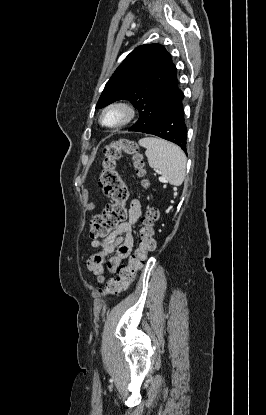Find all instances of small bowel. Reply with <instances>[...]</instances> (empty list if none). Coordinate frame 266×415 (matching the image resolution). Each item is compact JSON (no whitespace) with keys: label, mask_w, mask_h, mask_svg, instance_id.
<instances>
[{"label":"small bowel","mask_w":266,"mask_h":415,"mask_svg":"<svg viewBox=\"0 0 266 415\" xmlns=\"http://www.w3.org/2000/svg\"><path fill=\"white\" fill-rule=\"evenodd\" d=\"M141 216V204L133 199L130 204L128 219L120 223L113 232L104 239H95L91 242L93 248L100 251L87 259V269L99 281H103L106 272L115 273L133 248V228Z\"/></svg>","instance_id":"obj_1"}]
</instances>
